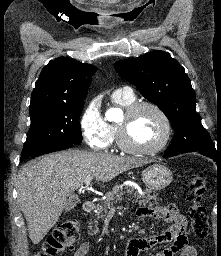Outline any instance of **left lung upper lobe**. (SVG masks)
<instances>
[{
    "mask_svg": "<svg viewBox=\"0 0 221 256\" xmlns=\"http://www.w3.org/2000/svg\"><path fill=\"white\" fill-rule=\"evenodd\" d=\"M114 67L168 117L175 131L169 147L213 144L196 112V96L189 78L168 52L154 50L137 58L118 61Z\"/></svg>",
    "mask_w": 221,
    "mask_h": 256,
    "instance_id": "5c2ea615",
    "label": "left lung upper lobe"
}]
</instances>
